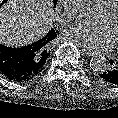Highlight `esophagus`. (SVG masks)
<instances>
[{"instance_id": "esophagus-1", "label": "esophagus", "mask_w": 118, "mask_h": 118, "mask_svg": "<svg viewBox=\"0 0 118 118\" xmlns=\"http://www.w3.org/2000/svg\"><path fill=\"white\" fill-rule=\"evenodd\" d=\"M82 51H83L87 56H95V52H93V51L86 50V49H82Z\"/></svg>"}]
</instances>
